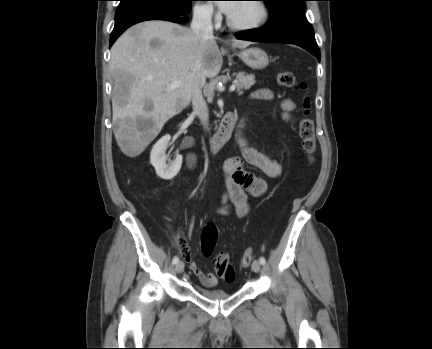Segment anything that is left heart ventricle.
<instances>
[{"instance_id": "1", "label": "left heart ventricle", "mask_w": 432, "mask_h": 349, "mask_svg": "<svg viewBox=\"0 0 432 349\" xmlns=\"http://www.w3.org/2000/svg\"><path fill=\"white\" fill-rule=\"evenodd\" d=\"M260 9L254 2H243L237 4L230 18L238 24H248L260 17Z\"/></svg>"}]
</instances>
